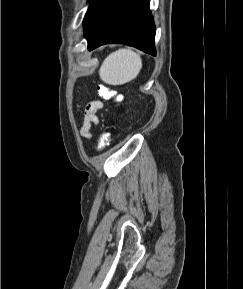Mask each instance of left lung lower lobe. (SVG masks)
Listing matches in <instances>:
<instances>
[{
  "label": "left lung lower lobe",
  "mask_w": 243,
  "mask_h": 289,
  "mask_svg": "<svg viewBox=\"0 0 243 289\" xmlns=\"http://www.w3.org/2000/svg\"><path fill=\"white\" fill-rule=\"evenodd\" d=\"M84 33L89 50L107 43H123L156 55L149 0H91Z\"/></svg>",
  "instance_id": "0a47b994"
}]
</instances>
